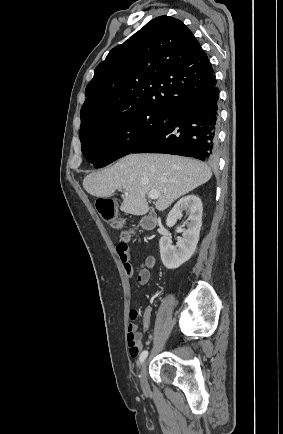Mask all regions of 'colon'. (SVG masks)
I'll return each instance as SVG.
<instances>
[{
  "label": "colon",
  "instance_id": "1",
  "mask_svg": "<svg viewBox=\"0 0 283 434\" xmlns=\"http://www.w3.org/2000/svg\"><path fill=\"white\" fill-rule=\"evenodd\" d=\"M96 209L103 220L110 223L116 228H123L125 221L117 216L116 205L112 199L100 198L96 201ZM132 232L129 230H123L121 234L122 242L127 246V242L130 240ZM132 318H136L137 312L133 311Z\"/></svg>",
  "mask_w": 283,
  "mask_h": 434
}]
</instances>
